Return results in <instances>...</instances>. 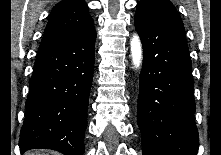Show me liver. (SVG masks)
I'll return each mask as SVG.
<instances>
[{
  "label": "liver",
  "mask_w": 221,
  "mask_h": 155,
  "mask_svg": "<svg viewBox=\"0 0 221 155\" xmlns=\"http://www.w3.org/2000/svg\"><path fill=\"white\" fill-rule=\"evenodd\" d=\"M42 152L40 151H30V152H27L26 155H41Z\"/></svg>",
  "instance_id": "obj_1"
}]
</instances>
